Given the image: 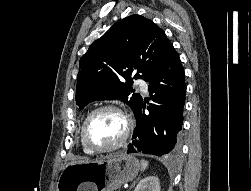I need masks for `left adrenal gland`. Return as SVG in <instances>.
Returning <instances> with one entry per match:
<instances>
[{"label": "left adrenal gland", "mask_w": 251, "mask_h": 191, "mask_svg": "<svg viewBox=\"0 0 251 191\" xmlns=\"http://www.w3.org/2000/svg\"><path fill=\"white\" fill-rule=\"evenodd\" d=\"M135 183H136V181H134V183H132V185H130V187H134Z\"/></svg>", "instance_id": "obj_1"}]
</instances>
